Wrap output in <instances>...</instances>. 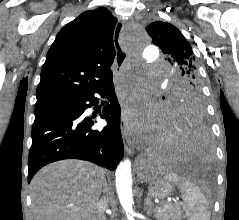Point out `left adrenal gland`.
Wrapping results in <instances>:
<instances>
[{"instance_id":"left-adrenal-gland-1","label":"left adrenal gland","mask_w":239,"mask_h":220,"mask_svg":"<svg viewBox=\"0 0 239 220\" xmlns=\"http://www.w3.org/2000/svg\"><path fill=\"white\" fill-rule=\"evenodd\" d=\"M153 203L151 202V198L148 195L147 198L144 200V210L146 211V214L148 216H151L153 214Z\"/></svg>"}]
</instances>
